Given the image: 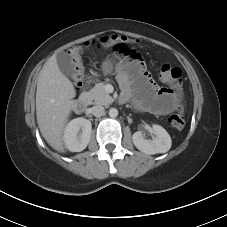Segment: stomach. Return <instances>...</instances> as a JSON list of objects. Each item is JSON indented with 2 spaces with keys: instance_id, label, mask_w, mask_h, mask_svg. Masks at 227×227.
<instances>
[{
  "instance_id": "obj_1",
  "label": "stomach",
  "mask_w": 227,
  "mask_h": 227,
  "mask_svg": "<svg viewBox=\"0 0 227 227\" xmlns=\"http://www.w3.org/2000/svg\"><path fill=\"white\" fill-rule=\"evenodd\" d=\"M114 61L112 59H106L103 63H102V72L105 75H110L112 74L113 68H114Z\"/></svg>"
}]
</instances>
